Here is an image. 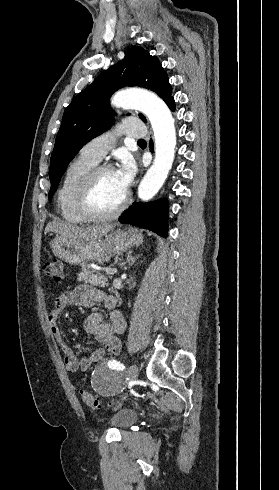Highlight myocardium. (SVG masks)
Masks as SVG:
<instances>
[{
	"label": "myocardium",
	"mask_w": 279,
	"mask_h": 490,
	"mask_svg": "<svg viewBox=\"0 0 279 490\" xmlns=\"http://www.w3.org/2000/svg\"><path fill=\"white\" fill-rule=\"evenodd\" d=\"M113 170L109 165H98L93 167L84 177L78 195V208L82 215L89 220L108 221L120 216L127 208L130 198L125 196L124 200L113 210L102 212L95 207L94 195L100 175Z\"/></svg>",
	"instance_id": "myocardium-1"
}]
</instances>
